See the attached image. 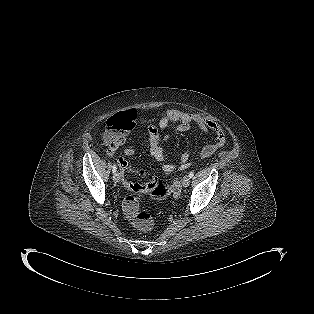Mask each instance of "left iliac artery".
Returning a JSON list of instances; mask_svg holds the SVG:
<instances>
[{
  "mask_svg": "<svg viewBox=\"0 0 314 314\" xmlns=\"http://www.w3.org/2000/svg\"><path fill=\"white\" fill-rule=\"evenodd\" d=\"M193 176H194V172L191 171V172L189 173V177L192 178Z\"/></svg>",
  "mask_w": 314,
  "mask_h": 314,
  "instance_id": "obj_1",
  "label": "left iliac artery"
}]
</instances>
